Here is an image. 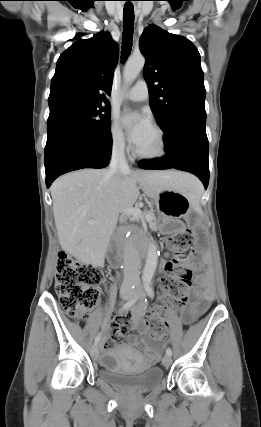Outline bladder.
I'll return each instance as SVG.
<instances>
[{"label":"bladder","mask_w":261,"mask_h":427,"mask_svg":"<svg viewBox=\"0 0 261 427\" xmlns=\"http://www.w3.org/2000/svg\"><path fill=\"white\" fill-rule=\"evenodd\" d=\"M99 376L110 385L132 392H149L164 380V371L154 366L144 371H136L121 364L118 357L108 353L102 359Z\"/></svg>","instance_id":"bladder-1"}]
</instances>
